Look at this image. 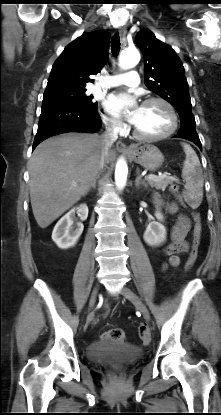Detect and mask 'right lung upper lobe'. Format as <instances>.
I'll return each mask as SVG.
<instances>
[{
  "mask_svg": "<svg viewBox=\"0 0 221 415\" xmlns=\"http://www.w3.org/2000/svg\"><path fill=\"white\" fill-rule=\"evenodd\" d=\"M109 34L83 33L71 42L52 66L44 94L71 89H85L90 75L97 74L109 56Z\"/></svg>",
  "mask_w": 221,
  "mask_h": 415,
  "instance_id": "cb5924a9",
  "label": "right lung upper lobe"
}]
</instances>
